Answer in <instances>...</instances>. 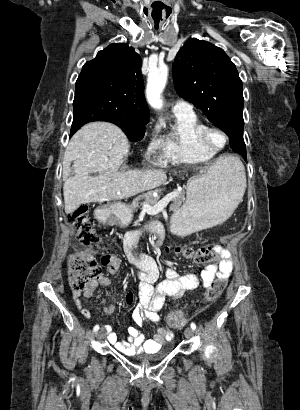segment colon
I'll list each match as a JSON object with an SVG mask.
<instances>
[{
    "label": "colon",
    "instance_id": "5ec220e1",
    "mask_svg": "<svg viewBox=\"0 0 300 410\" xmlns=\"http://www.w3.org/2000/svg\"><path fill=\"white\" fill-rule=\"evenodd\" d=\"M68 223L76 229L78 239L85 246L100 244V236L89 223V209L87 206H81L71 213ZM220 250V246L216 244L201 248L180 246L173 249L176 254L200 264L216 262L219 259ZM100 261L102 266L110 272H116L120 269V258L112 252H103ZM98 272L96 261L87 253H78L69 258L68 281L71 289L75 292L85 290L97 277ZM226 282L224 279H217L212 282L205 292V299L208 301L217 299L223 292ZM185 323L186 317L181 312H172L167 317V324L172 328H180Z\"/></svg>",
    "mask_w": 300,
    "mask_h": 410
}]
</instances>
